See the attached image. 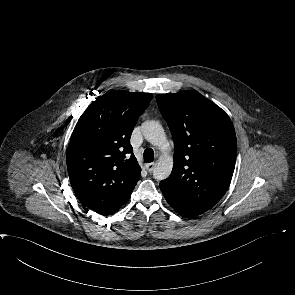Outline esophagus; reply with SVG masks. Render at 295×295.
Here are the masks:
<instances>
[{"label": "esophagus", "mask_w": 295, "mask_h": 295, "mask_svg": "<svg viewBox=\"0 0 295 295\" xmlns=\"http://www.w3.org/2000/svg\"><path fill=\"white\" fill-rule=\"evenodd\" d=\"M156 166V163L155 162H152V163H148L145 165L146 169L149 171V172H152L154 170Z\"/></svg>", "instance_id": "34e87169"}]
</instances>
